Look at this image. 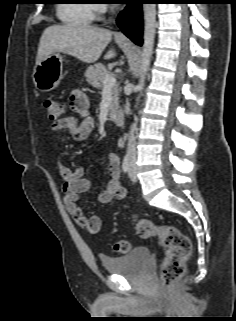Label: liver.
<instances>
[{
	"label": "liver",
	"instance_id": "1",
	"mask_svg": "<svg viewBox=\"0 0 236 321\" xmlns=\"http://www.w3.org/2000/svg\"><path fill=\"white\" fill-rule=\"evenodd\" d=\"M112 39V32L87 25H54L43 32L36 56V64L53 53H66L85 63L97 61ZM116 56L110 49L105 60Z\"/></svg>",
	"mask_w": 236,
	"mask_h": 321
}]
</instances>
